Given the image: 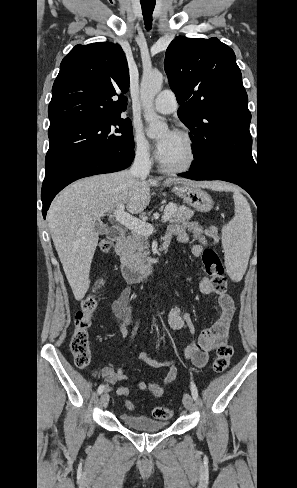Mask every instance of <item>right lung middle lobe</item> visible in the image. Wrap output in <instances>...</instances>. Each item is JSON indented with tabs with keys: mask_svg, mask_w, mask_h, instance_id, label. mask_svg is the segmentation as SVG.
Segmentation results:
<instances>
[{
	"mask_svg": "<svg viewBox=\"0 0 297 488\" xmlns=\"http://www.w3.org/2000/svg\"><path fill=\"white\" fill-rule=\"evenodd\" d=\"M45 175L78 157L134 148L130 119L121 116L71 125L48 133Z\"/></svg>",
	"mask_w": 297,
	"mask_h": 488,
	"instance_id": "dd1d6c3e",
	"label": "right lung middle lobe"
}]
</instances>
